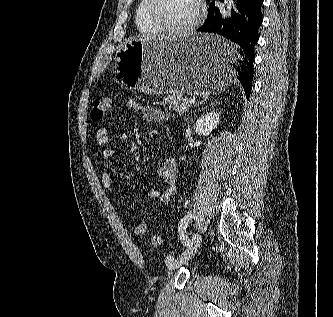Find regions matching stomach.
Returning a JSON list of instances; mask_svg holds the SVG:
<instances>
[{"label": "stomach", "mask_w": 333, "mask_h": 317, "mask_svg": "<svg viewBox=\"0 0 333 317\" xmlns=\"http://www.w3.org/2000/svg\"><path fill=\"white\" fill-rule=\"evenodd\" d=\"M226 33L128 40L116 53L119 83L150 95L218 94L234 88L236 76L226 62H240L238 46Z\"/></svg>", "instance_id": "obj_1"}]
</instances>
